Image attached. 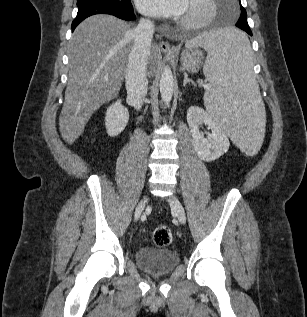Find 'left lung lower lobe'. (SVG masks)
<instances>
[{"mask_svg":"<svg viewBox=\"0 0 307 317\" xmlns=\"http://www.w3.org/2000/svg\"><path fill=\"white\" fill-rule=\"evenodd\" d=\"M241 11V9H240ZM241 15V14H240ZM248 25V24H247ZM242 26L240 29L244 30L245 32H247L250 36H252V31L250 29L249 26ZM239 28V27H238ZM228 43L233 47V49L237 50V51H243L245 48V41L241 38L238 37H232L230 39H228Z\"/></svg>","mask_w":307,"mask_h":317,"instance_id":"left-lung-lower-lobe-1","label":"left lung lower lobe"}]
</instances>
